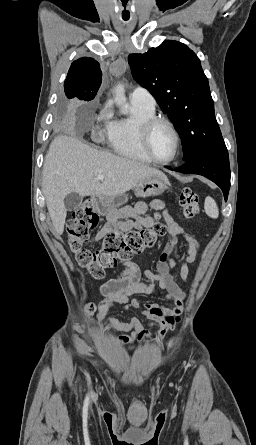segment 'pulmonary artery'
Segmentation results:
<instances>
[{"instance_id":"obj_1","label":"pulmonary artery","mask_w":256,"mask_h":445,"mask_svg":"<svg viewBox=\"0 0 256 445\" xmlns=\"http://www.w3.org/2000/svg\"><path fill=\"white\" fill-rule=\"evenodd\" d=\"M130 103L144 107V108H155V99L152 94L143 87L135 88L129 95Z\"/></svg>"}]
</instances>
